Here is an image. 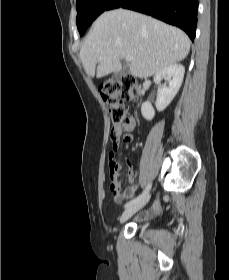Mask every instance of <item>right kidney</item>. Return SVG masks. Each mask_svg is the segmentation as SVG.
Here are the masks:
<instances>
[{
    "mask_svg": "<svg viewBox=\"0 0 229 280\" xmlns=\"http://www.w3.org/2000/svg\"><path fill=\"white\" fill-rule=\"evenodd\" d=\"M185 69L181 64H173L158 72L154 76V82L159 85L157 91L156 108L158 111H163L173 100L178 93L184 78ZM165 79L168 85H160L161 81ZM142 116L146 120H152L155 111L150 102L146 101L141 106Z\"/></svg>",
    "mask_w": 229,
    "mask_h": 280,
    "instance_id": "obj_1",
    "label": "right kidney"
}]
</instances>
